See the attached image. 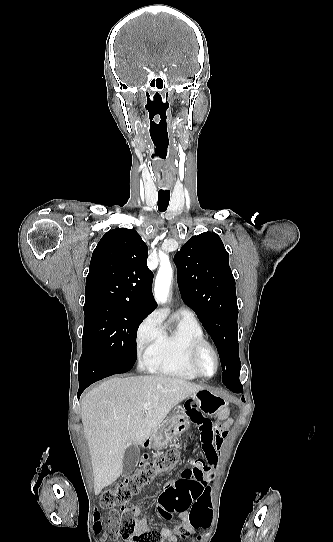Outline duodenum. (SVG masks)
<instances>
[{
	"label": "duodenum",
	"instance_id": "410a0bca",
	"mask_svg": "<svg viewBox=\"0 0 333 542\" xmlns=\"http://www.w3.org/2000/svg\"><path fill=\"white\" fill-rule=\"evenodd\" d=\"M151 443H152V440L151 438H146L144 441H143V446L148 448L151 446Z\"/></svg>",
	"mask_w": 333,
	"mask_h": 542
}]
</instances>
